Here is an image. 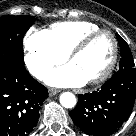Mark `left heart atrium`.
Returning a JSON list of instances; mask_svg holds the SVG:
<instances>
[{
    "label": "left heart atrium",
    "instance_id": "39dd6f15",
    "mask_svg": "<svg viewBox=\"0 0 136 136\" xmlns=\"http://www.w3.org/2000/svg\"><path fill=\"white\" fill-rule=\"evenodd\" d=\"M46 82L57 87H78L84 85L87 80L82 73L71 63L51 71Z\"/></svg>",
    "mask_w": 136,
    "mask_h": 136
}]
</instances>
